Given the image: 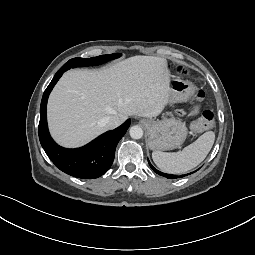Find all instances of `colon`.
Wrapping results in <instances>:
<instances>
[{
	"instance_id": "obj_1",
	"label": "colon",
	"mask_w": 255,
	"mask_h": 255,
	"mask_svg": "<svg viewBox=\"0 0 255 255\" xmlns=\"http://www.w3.org/2000/svg\"><path fill=\"white\" fill-rule=\"evenodd\" d=\"M179 71L183 72V67H179ZM203 92H198L197 97L202 98ZM214 123V113L210 110H205L199 118L192 123V128L195 131H203L210 128Z\"/></svg>"
}]
</instances>
